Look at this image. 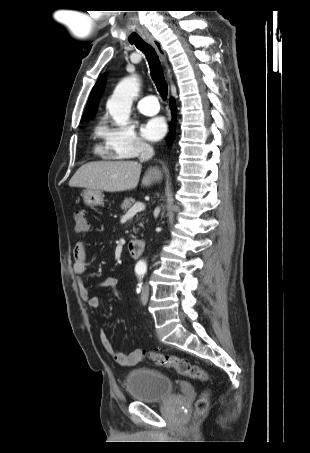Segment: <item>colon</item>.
<instances>
[{
    "mask_svg": "<svg viewBox=\"0 0 310 453\" xmlns=\"http://www.w3.org/2000/svg\"><path fill=\"white\" fill-rule=\"evenodd\" d=\"M75 230L85 232L88 230V221L84 211H78L75 214ZM157 366L163 368H174L179 374L189 376L193 379L206 380L207 372L198 365L192 364L188 359L164 355L153 351H143ZM209 404L208 393L205 392L196 402V412L202 414L207 410Z\"/></svg>",
    "mask_w": 310,
    "mask_h": 453,
    "instance_id": "1",
    "label": "colon"
}]
</instances>
